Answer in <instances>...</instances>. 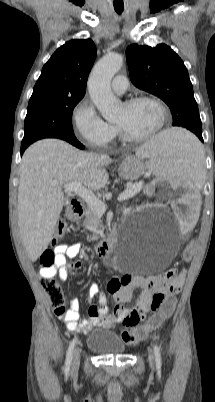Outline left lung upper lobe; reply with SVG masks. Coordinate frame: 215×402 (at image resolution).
Returning a JSON list of instances; mask_svg holds the SVG:
<instances>
[{
    "label": "left lung upper lobe",
    "mask_w": 215,
    "mask_h": 402,
    "mask_svg": "<svg viewBox=\"0 0 215 402\" xmlns=\"http://www.w3.org/2000/svg\"><path fill=\"white\" fill-rule=\"evenodd\" d=\"M132 83L161 98L171 109L173 126L202 136L201 119L192 83L181 58L167 45L133 44L126 49Z\"/></svg>",
    "instance_id": "5c2ea615"
}]
</instances>
